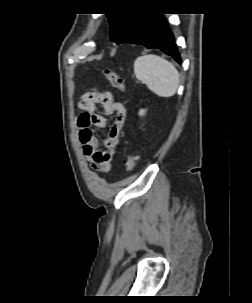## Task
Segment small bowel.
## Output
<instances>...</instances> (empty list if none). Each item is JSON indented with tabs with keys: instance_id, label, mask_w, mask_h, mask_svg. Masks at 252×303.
Segmentation results:
<instances>
[{
	"instance_id": "c3829d8e",
	"label": "small bowel",
	"mask_w": 252,
	"mask_h": 303,
	"mask_svg": "<svg viewBox=\"0 0 252 303\" xmlns=\"http://www.w3.org/2000/svg\"><path fill=\"white\" fill-rule=\"evenodd\" d=\"M101 108L105 115H113L114 121L109 126V132L103 140L106 150L99 149L97 128L108 126L107 119L98 113ZM83 111L78 121L79 141L83 154L93 169L99 172H109L113 165L114 154L119 146V136L126 119L124 106L113 100L112 94L98 89L87 90L80 102Z\"/></svg>"
}]
</instances>
